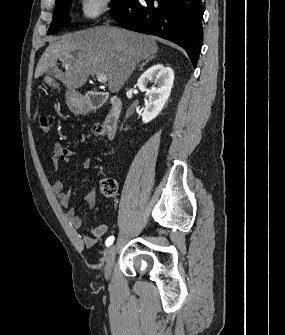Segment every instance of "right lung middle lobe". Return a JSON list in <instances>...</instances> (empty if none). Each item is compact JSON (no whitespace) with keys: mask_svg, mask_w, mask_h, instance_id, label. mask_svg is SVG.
Returning <instances> with one entry per match:
<instances>
[{"mask_svg":"<svg viewBox=\"0 0 285 335\" xmlns=\"http://www.w3.org/2000/svg\"><path fill=\"white\" fill-rule=\"evenodd\" d=\"M71 2L72 0H61L58 3H56L55 8H54L53 20L50 24L47 35H52V34L57 33L65 25H67L70 22L69 10L71 6ZM117 2L118 0H113L110 3V6L112 7Z\"/></svg>","mask_w":285,"mask_h":335,"instance_id":"1","label":"right lung middle lobe"}]
</instances>
